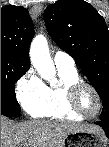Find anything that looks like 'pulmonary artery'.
I'll list each match as a JSON object with an SVG mask.
<instances>
[{"instance_id": "pulmonary-artery-1", "label": "pulmonary artery", "mask_w": 109, "mask_h": 147, "mask_svg": "<svg viewBox=\"0 0 109 147\" xmlns=\"http://www.w3.org/2000/svg\"><path fill=\"white\" fill-rule=\"evenodd\" d=\"M54 64L57 68L61 69H75L74 59L66 52L57 50L55 51Z\"/></svg>"}]
</instances>
